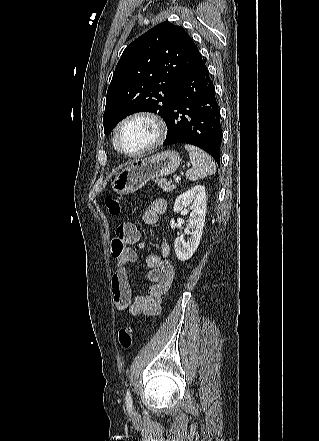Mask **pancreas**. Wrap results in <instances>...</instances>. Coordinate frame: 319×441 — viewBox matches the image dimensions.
I'll list each match as a JSON object with an SVG mask.
<instances>
[{
	"label": "pancreas",
	"mask_w": 319,
	"mask_h": 441,
	"mask_svg": "<svg viewBox=\"0 0 319 441\" xmlns=\"http://www.w3.org/2000/svg\"><path fill=\"white\" fill-rule=\"evenodd\" d=\"M155 183L163 189L165 192H170L175 189V186L171 184V182L166 181L165 179H156Z\"/></svg>",
	"instance_id": "pancreas-1"
}]
</instances>
